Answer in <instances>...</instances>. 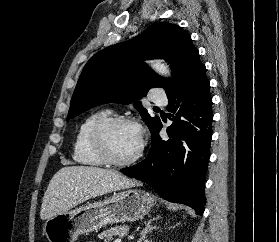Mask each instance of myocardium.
Returning a JSON list of instances; mask_svg holds the SVG:
<instances>
[{"instance_id": "obj_1", "label": "myocardium", "mask_w": 279, "mask_h": 242, "mask_svg": "<svg viewBox=\"0 0 279 242\" xmlns=\"http://www.w3.org/2000/svg\"><path fill=\"white\" fill-rule=\"evenodd\" d=\"M119 124H129L137 128L139 132V147L137 151L128 159L120 160L113 156L108 145V132L109 130ZM91 142L98 153L106 164L125 167L134 164L142 155L144 149V135L141 124L134 118L129 116L115 115L107 116L96 122L91 132Z\"/></svg>"}]
</instances>
